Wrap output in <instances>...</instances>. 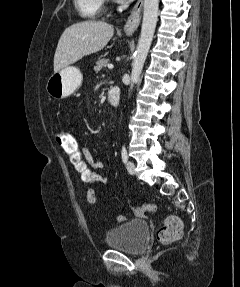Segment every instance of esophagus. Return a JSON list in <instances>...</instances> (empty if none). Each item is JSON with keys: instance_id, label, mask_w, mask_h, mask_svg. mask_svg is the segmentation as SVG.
Listing matches in <instances>:
<instances>
[{"instance_id": "1", "label": "esophagus", "mask_w": 240, "mask_h": 287, "mask_svg": "<svg viewBox=\"0 0 240 287\" xmlns=\"http://www.w3.org/2000/svg\"><path fill=\"white\" fill-rule=\"evenodd\" d=\"M143 10V0H138L134 5L131 15L129 16L125 26L124 31L127 35H131L138 27Z\"/></svg>"}]
</instances>
